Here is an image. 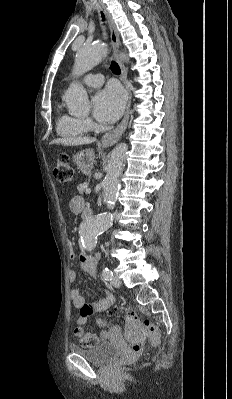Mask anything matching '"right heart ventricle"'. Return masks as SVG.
<instances>
[{
  "label": "right heart ventricle",
  "instance_id": "right-heart-ventricle-1",
  "mask_svg": "<svg viewBox=\"0 0 232 399\" xmlns=\"http://www.w3.org/2000/svg\"><path fill=\"white\" fill-rule=\"evenodd\" d=\"M90 128L85 119L68 114H59L55 121L56 134L68 141L82 139Z\"/></svg>",
  "mask_w": 232,
  "mask_h": 399
}]
</instances>
